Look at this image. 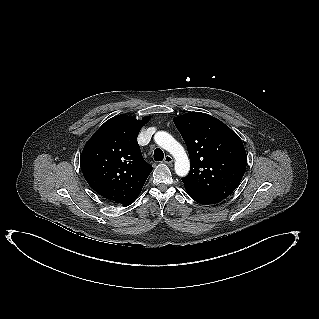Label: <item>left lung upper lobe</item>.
<instances>
[{"instance_id":"5c2ea615","label":"left lung upper lobe","mask_w":319,"mask_h":319,"mask_svg":"<svg viewBox=\"0 0 319 319\" xmlns=\"http://www.w3.org/2000/svg\"><path fill=\"white\" fill-rule=\"evenodd\" d=\"M190 156L185 188L223 200L238 187L247 155L239 136L215 117L189 112L174 118Z\"/></svg>"}]
</instances>
